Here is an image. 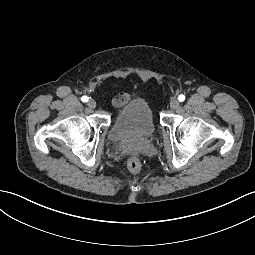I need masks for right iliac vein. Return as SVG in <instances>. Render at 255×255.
Returning a JSON list of instances; mask_svg holds the SVG:
<instances>
[{
	"label": "right iliac vein",
	"mask_w": 255,
	"mask_h": 255,
	"mask_svg": "<svg viewBox=\"0 0 255 255\" xmlns=\"http://www.w3.org/2000/svg\"><path fill=\"white\" fill-rule=\"evenodd\" d=\"M87 105L89 108L94 109L96 107V101L93 99H90Z\"/></svg>",
	"instance_id": "63e3f726"
}]
</instances>
